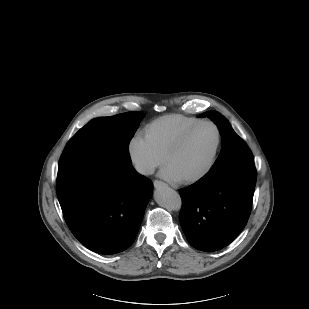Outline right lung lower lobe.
I'll return each mask as SVG.
<instances>
[{
  "mask_svg": "<svg viewBox=\"0 0 309 309\" xmlns=\"http://www.w3.org/2000/svg\"><path fill=\"white\" fill-rule=\"evenodd\" d=\"M152 188L131 163L99 159L57 182V196L73 235L91 251L114 254L133 243Z\"/></svg>",
  "mask_w": 309,
  "mask_h": 309,
  "instance_id": "right-lung-lower-lobe-1",
  "label": "right lung lower lobe"
}]
</instances>
